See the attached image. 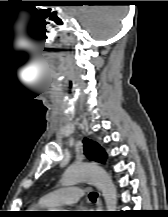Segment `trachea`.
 <instances>
[{
    "label": "trachea",
    "mask_w": 168,
    "mask_h": 217,
    "mask_svg": "<svg viewBox=\"0 0 168 217\" xmlns=\"http://www.w3.org/2000/svg\"><path fill=\"white\" fill-rule=\"evenodd\" d=\"M97 196H98V194H97L96 192H91V193L89 194V199H90L91 201H96Z\"/></svg>",
    "instance_id": "obj_1"
}]
</instances>
